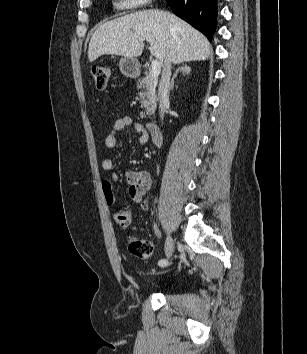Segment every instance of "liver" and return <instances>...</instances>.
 <instances>
[{"label": "liver", "instance_id": "liver-1", "mask_svg": "<svg viewBox=\"0 0 307 354\" xmlns=\"http://www.w3.org/2000/svg\"><path fill=\"white\" fill-rule=\"evenodd\" d=\"M140 39L150 43L151 55L161 65L166 57L179 64L206 60L211 52L208 39L174 14L143 10L102 24L91 37L89 62L102 55L138 57L144 49Z\"/></svg>", "mask_w": 307, "mask_h": 354}]
</instances>
